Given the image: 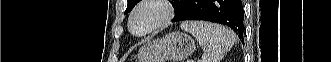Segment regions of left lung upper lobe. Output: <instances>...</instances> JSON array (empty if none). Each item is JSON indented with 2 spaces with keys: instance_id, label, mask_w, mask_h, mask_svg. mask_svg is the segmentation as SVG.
<instances>
[{
  "instance_id": "left-lung-upper-lobe-1",
  "label": "left lung upper lobe",
  "mask_w": 331,
  "mask_h": 62,
  "mask_svg": "<svg viewBox=\"0 0 331 62\" xmlns=\"http://www.w3.org/2000/svg\"><path fill=\"white\" fill-rule=\"evenodd\" d=\"M141 0H128V5L125 13L130 12L133 7ZM187 0H172L171 3L172 5L180 11L184 4L186 3Z\"/></svg>"
}]
</instances>
